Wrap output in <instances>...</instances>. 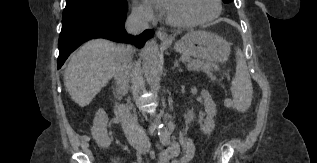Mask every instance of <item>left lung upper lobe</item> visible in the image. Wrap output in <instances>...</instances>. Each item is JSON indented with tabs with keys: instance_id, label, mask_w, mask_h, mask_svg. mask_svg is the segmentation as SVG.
Wrapping results in <instances>:
<instances>
[{
	"instance_id": "1",
	"label": "left lung upper lobe",
	"mask_w": 317,
	"mask_h": 163,
	"mask_svg": "<svg viewBox=\"0 0 317 163\" xmlns=\"http://www.w3.org/2000/svg\"><path fill=\"white\" fill-rule=\"evenodd\" d=\"M231 0H223L224 3H229Z\"/></svg>"
}]
</instances>
